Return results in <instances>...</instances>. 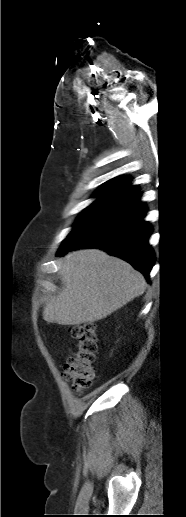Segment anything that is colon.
I'll return each instance as SVG.
<instances>
[{"label": "colon", "mask_w": 186, "mask_h": 517, "mask_svg": "<svg viewBox=\"0 0 186 517\" xmlns=\"http://www.w3.org/2000/svg\"><path fill=\"white\" fill-rule=\"evenodd\" d=\"M70 333L78 343L64 366L63 376L77 391L89 388L95 377V355L98 346L97 328L92 323L70 326Z\"/></svg>", "instance_id": "1"}]
</instances>
